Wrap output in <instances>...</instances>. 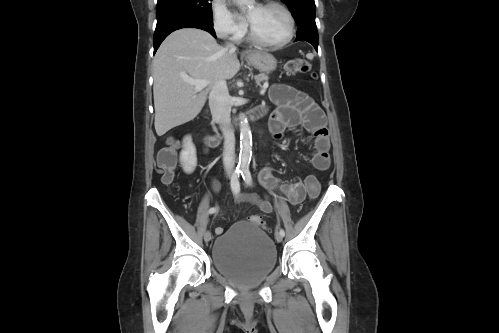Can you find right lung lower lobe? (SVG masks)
Wrapping results in <instances>:
<instances>
[{
  "label": "right lung lower lobe",
  "instance_id": "obj_1",
  "mask_svg": "<svg viewBox=\"0 0 499 333\" xmlns=\"http://www.w3.org/2000/svg\"><path fill=\"white\" fill-rule=\"evenodd\" d=\"M181 28H198L205 31H208L213 37H216L215 31L213 29V23H209L202 20H175L168 23H165L161 26L156 27L153 45H154V53L162 43V41L173 31L181 29Z\"/></svg>",
  "mask_w": 499,
  "mask_h": 333
}]
</instances>
